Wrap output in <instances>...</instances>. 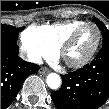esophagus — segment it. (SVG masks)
Instances as JSON below:
<instances>
[{
	"label": "esophagus",
	"mask_w": 109,
	"mask_h": 109,
	"mask_svg": "<svg viewBox=\"0 0 109 109\" xmlns=\"http://www.w3.org/2000/svg\"><path fill=\"white\" fill-rule=\"evenodd\" d=\"M48 72H49V70L46 69V68L41 67V68L39 69V74L45 75V74H47Z\"/></svg>",
	"instance_id": "34e87169"
}]
</instances>
